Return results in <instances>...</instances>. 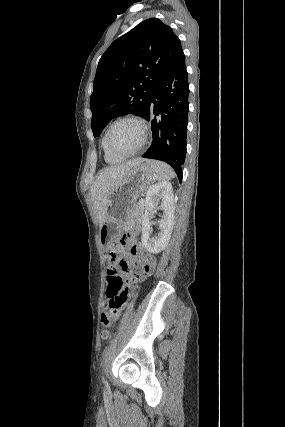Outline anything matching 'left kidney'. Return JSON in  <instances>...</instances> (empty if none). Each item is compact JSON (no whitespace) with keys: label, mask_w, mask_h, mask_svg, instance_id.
Instances as JSON below:
<instances>
[{"label":"left kidney","mask_w":285,"mask_h":427,"mask_svg":"<svg viewBox=\"0 0 285 427\" xmlns=\"http://www.w3.org/2000/svg\"><path fill=\"white\" fill-rule=\"evenodd\" d=\"M161 200L160 210L163 211L159 223V233L151 236V223L149 212L155 207L156 200ZM145 214L142 218V245L150 253L161 252L168 244L174 225V196L173 188L169 182H160L151 186L144 201Z\"/></svg>","instance_id":"obj_1"}]
</instances>
